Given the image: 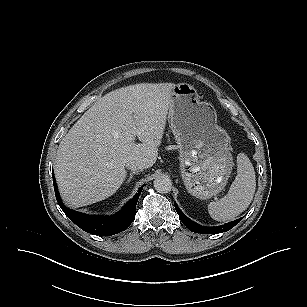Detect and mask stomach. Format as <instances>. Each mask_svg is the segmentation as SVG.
<instances>
[{"instance_id": "obj_1", "label": "stomach", "mask_w": 307, "mask_h": 307, "mask_svg": "<svg viewBox=\"0 0 307 307\" xmlns=\"http://www.w3.org/2000/svg\"><path fill=\"white\" fill-rule=\"evenodd\" d=\"M169 117L187 191L200 199L217 195L227 184L233 158L229 136L217 124L216 110L200 100L192 85L180 83L171 92Z\"/></svg>"}]
</instances>
